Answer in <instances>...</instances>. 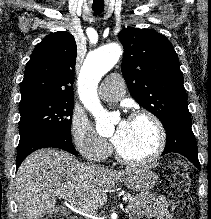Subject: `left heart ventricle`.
I'll list each match as a JSON object with an SVG mask.
<instances>
[{
  "mask_svg": "<svg viewBox=\"0 0 211 219\" xmlns=\"http://www.w3.org/2000/svg\"><path fill=\"white\" fill-rule=\"evenodd\" d=\"M157 144V132L146 118L130 120L128 131L117 147L120 153L130 159H141L150 155Z\"/></svg>",
  "mask_w": 211,
  "mask_h": 219,
  "instance_id": "obj_1",
  "label": "left heart ventricle"
}]
</instances>
